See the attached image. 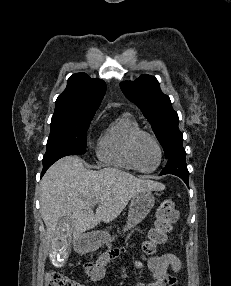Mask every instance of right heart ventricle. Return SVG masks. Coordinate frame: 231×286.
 <instances>
[{
	"instance_id": "right-heart-ventricle-1",
	"label": "right heart ventricle",
	"mask_w": 231,
	"mask_h": 286,
	"mask_svg": "<svg viewBox=\"0 0 231 286\" xmlns=\"http://www.w3.org/2000/svg\"><path fill=\"white\" fill-rule=\"evenodd\" d=\"M139 129L140 126L131 113L120 115L101 133L96 146L98 159L112 167L136 170L128 156L127 147L130 136Z\"/></svg>"
}]
</instances>
